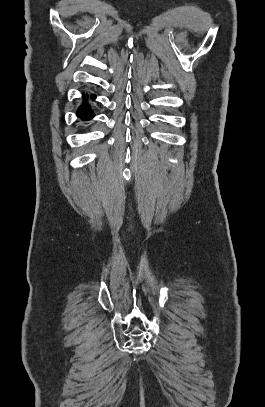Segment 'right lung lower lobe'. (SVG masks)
<instances>
[{
  "instance_id": "1",
  "label": "right lung lower lobe",
  "mask_w": 265,
  "mask_h": 407,
  "mask_svg": "<svg viewBox=\"0 0 265 407\" xmlns=\"http://www.w3.org/2000/svg\"><path fill=\"white\" fill-rule=\"evenodd\" d=\"M92 99H95V95H91ZM77 116L81 118L82 120H89L94 117L93 111L90 109V106L88 104H83L82 106L79 107L77 111Z\"/></svg>"
}]
</instances>
